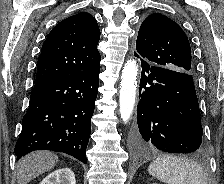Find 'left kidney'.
<instances>
[{"label":"left kidney","mask_w":224,"mask_h":184,"mask_svg":"<svg viewBox=\"0 0 224 184\" xmlns=\"http://www.w3.org/2000/svg\"><path fill=\"white\" fill-rule=\"evenodd\" d=\"M151 184H158V183H155V182H154V183H151Z\"/></svg>","instance_id":"left-kidney-1"}]
</instances>
